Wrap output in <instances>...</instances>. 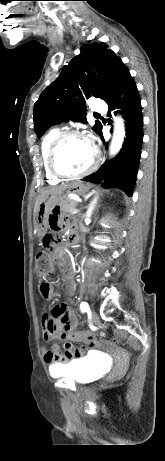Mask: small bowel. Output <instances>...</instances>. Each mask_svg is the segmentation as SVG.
Instances as JSON below:
<instances>
[{
    "instance_id": "obj_1",
    "label": "small bowel",
    "mask_w": 165,
    "mask_h": 461,
    "mask_svg": "<svg viewBox=\"0 0 165 461\" xmlns=\"http://www.w3.org/2000/svg\"><path fill=\"white\" fill-rule=\"evenodd\" d=\"M64 210L63 204H53L51 207L52 214H48L49 222H60L61 218L63 222H66L68 226L74 228L73 214H62ZM53 253L60 260L65 253L64 246H57L53 249ZM61 268L63 270L62 283L64 284L66 293L69 296L73 295L74 287L71 281L70 275L65 270L64 262H61ZM41 296L45 300H52L55 297V286L49 281H41L39 285ZM56 306H60L59 315L54 316L51 312L50 315L44 314L42 317V337L45 341L49 342L54 339H67L76 340V342L88 341V332L77 331V320L73 314L69 302H62ZM53 307V308H54ZM53 311V309H52ZM72 358L71 354L62 352L60 345L54 344L51 349L44 351L45 362L49 364L50 368L55 374H61L63 369V363Z\"/></svg>"
}]
</instances>
